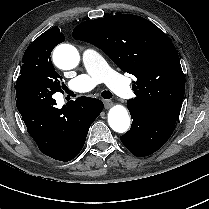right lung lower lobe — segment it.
I'll return each mask as SVG.
<instances>
[{
    "mask_svg": "<svg viewBox=\"0 0 209 209\" xmlns=\"http://www.w3.org/2000/svg\"><path fill=\"white\" fill-rule=\"evenodd\" d=\"M52 92L26 80L16 82V106L40 151L70 161L84 146L92 122L103 110L98 99L79 97L61 109Z\"/></svg>",
    "mask_w": 209,
    "mask_h": 209,
    "instance_id": "1",
    "label": "right lung lower lobe"
}]
</instances>
